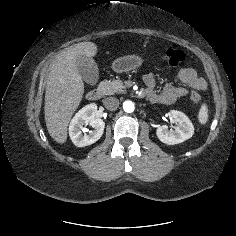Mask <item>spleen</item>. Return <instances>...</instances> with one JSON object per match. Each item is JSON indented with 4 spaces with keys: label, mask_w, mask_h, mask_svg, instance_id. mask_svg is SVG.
Returning a JSON list of instances; mask_svg holds the SVG:
<instances>
[{
    "label": "spleen",
    "mask_w": 236,
    "mask_h": 236,
    "mask_svg": "<svg viewBox=\"0 0 236 236\" xmlns=\"http://www.w3.org/2000/svg\"><path fill=\"white\" fill-rule=\"evenodd\" d=\"M198 119L201 124H205L208 120V108L205 104L202 105L199 111Z\"/></svg>",
    "instance_id": "obj_1"
}]
</instances>
